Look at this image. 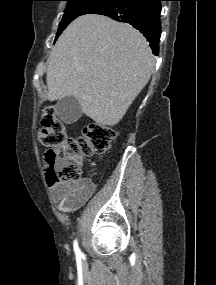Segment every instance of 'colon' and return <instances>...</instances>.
<instances>
[{
    "label": "colon",
    "mask_w": 216,
    "mask_h": 285,
    "mask_svg": "<svg viewBox=\"0 0 216 285\" xmlns=\"http://www.w3.org/2000/svg\"><path fill=\"white\" fill-rule=\"evenodd\" d=\"M115 137L112 128L96 123L85 126L81 137H67L65 126L55 110L46 108L38 138L43 145L50 147L45 155L48 183H77L81 178L80 159L105 153Z\"/></svg>",
    "instance_id": "1"
}]
</instances>
